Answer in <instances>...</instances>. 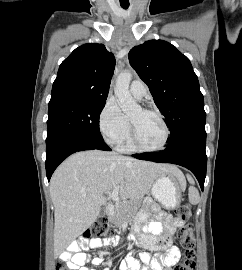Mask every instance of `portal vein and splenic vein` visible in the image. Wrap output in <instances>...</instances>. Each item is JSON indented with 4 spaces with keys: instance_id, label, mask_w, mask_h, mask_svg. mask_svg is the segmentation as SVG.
I'll return each instance as SVG.
<instances>
[{
    "instance_id": "obj_1",
    "label": "portal vein and splenic vein",
    "mask_w": 242,
    "mask_h": 270,
    "mask_svg": "<svg viewBox=\"0 0 242 270\" xmlns=\"http://www.w3.org/2000/svg\"><path fill=\"white\" fill-rule=\"evenodd\" d=\"M118 193H119V187H116L112 193L108 194V198L116 201V203H119L120 202V199L118 197Z\"/></svg>"
}]
</instances>
